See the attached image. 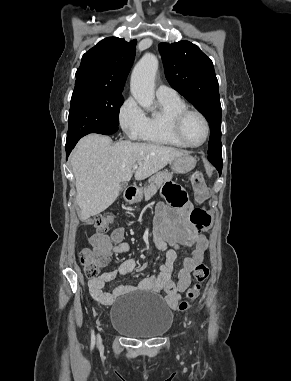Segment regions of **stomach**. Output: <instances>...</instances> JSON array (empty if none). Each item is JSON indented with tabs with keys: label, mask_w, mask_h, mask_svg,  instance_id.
<instances>
[{
	"label": "stomach",
	"mask_w": 291,
	"mask_h": 381,
	"mask_svg": "<svg viewBox=\"0 0 291 381\" xmlns=\"http://www.w3.org/2000/svg\"><path fill=\"white\" fill-rule=\"evenodd\" d=\"M196 165V160L189 154H184L177 157L171 162L172 171L179 174L190 172ZM141 197H137L135 201H139Z\"/></svg>",
	"instance_id": "stomach-1"
}]
</instances>
